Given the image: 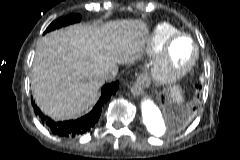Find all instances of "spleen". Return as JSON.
<instances>
[{
  "label": "spleen",
  "instance_id": "obj_1",
  "mask_svg": "<svg viewBox=\"0 0 240 160\" xmlns=\"http://www.w3.org/2000/svg\"><path fill=\"white\" fill-rule=\"evenodd\" d=\"M171 96L174 100H176L177 102H182V96H181V92L178 88V86H174L171 90Z\"/></svg>",
  "mask_w": 240,
  "mask_h": 160
}]
</instances>
